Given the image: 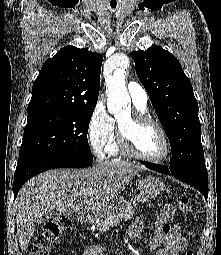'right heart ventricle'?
Returning a JSON list of instances; mask_svg holds the SVG:
<instances>
[{"label": "right heart ventricle", "mask_w": 221, "mask_h": 255, "mask_svg": "<svg viewBox=\"0 0 221 255\" xmlns=\"http://www.w3.org/2000/svg\"><path fill=\"white\" fill-rule=\"evenodd\" d=\"M136 109L141 112L145 113L146 112V107H140L136 106ZM105 153L109 157H121V156H128V154L122 149L119 140H118V135H117V130L114 128L113 133L108 141V144L105 148Z\"/></svg>", "instance_id": "obj_1"}]
</instances>
